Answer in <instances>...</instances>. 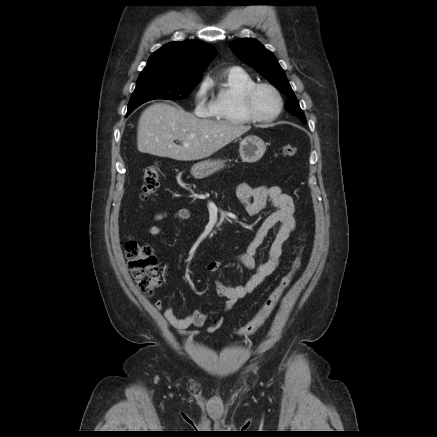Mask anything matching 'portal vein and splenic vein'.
Masks as SVG:
<instances>
[{"instance_id":"18ae733b","label":"portal vein and splenic vein","mask_w":437,"mask_h":437,"mask_svg":"<svg viewBox=\"0 0 437 437\" xmlns=\"http://www.w3.org/2000/svg\"><path fill=\"white\" fill-rule=\"evenodd\" d=\"M185 147H188V144H184Z\"/></svg>"}]
</instances>
